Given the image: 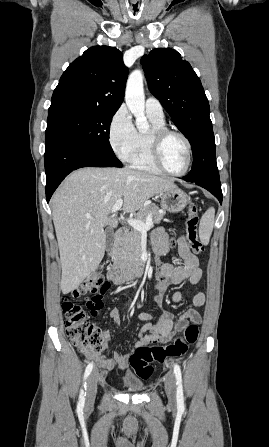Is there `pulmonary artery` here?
I'll use <instances>...</instances> for the list:
<instances>
[{
  "label": "pulmonary artery",
  "mask_w": 269,
  "mask_h": 447,
  "mask_svg": "<svg viewBox=\"0 0 269 447\" xmlns=\"http://www.w3.org/2000/svg\"><path fill=\"white\" fill-rule=\"evenodd\" d=\"M145 111L148 114L156 117L157 119L164 118L163 107H162L160 101L154 96H150L146 99Z\"/></svg>",
  "instance_id": "e3ab8cb5"
}]
</instances>
